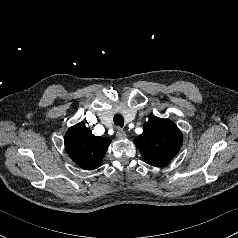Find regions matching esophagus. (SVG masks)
<instances>
[{"instance_id":"34e87169","label":"esophagus","mask_w":238,"mask_h":238,"mask_svg":"<svg viewBox=\"0 0 238 238\" xmlns=\"http://www.w3.org/2000/svg\"><path fill=\"white\" fill-rule=\"evenodd\" d=\"M116 137L119 139H123L126 137V133L122 128H118L117 132H116Z\"/></svg>"}]
</instances>
